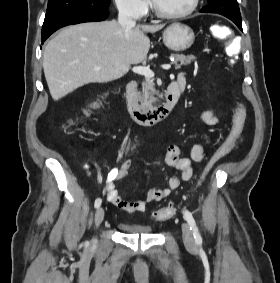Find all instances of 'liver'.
<instances>
[{
  "instance_id": "obj_1",
  "label": "liver",
  "mask_w": 280,
  "mask_h": 283,
  "mask_svg": "<svg viewBox=\"0 0 280 283\" xmlns=\"http://www.w3.org/2000/svg\"><path fill=\"white\" fill-rule=\"evenodd\" d=\"M164 25L122 28L115 20L82 23L61 30L43 55V69L52 98L57 101L88 83L122 77L148 54L150 40Z\"/></svg>"
}]
</instances>
